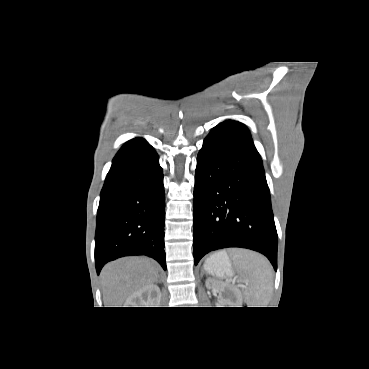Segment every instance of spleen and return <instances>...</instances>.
<instances>
[{"label":"spleen","instance_id":"3e777b00","mask_svg":"<svg viewBox=\"0 0 369 369\" xmlns=\"http://www.w3.org/2000/svg\"><path fill=\"white\" fill-rule=\"evenodd\" d=\"M234 264L248 278L246 296L249 307H267L273 286V270L262 255L242 249L231 250Z\"/></svg>","mask_w":369,"mask_h":369}]
</instances>
